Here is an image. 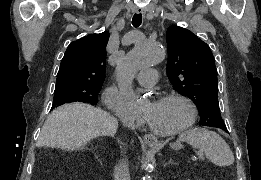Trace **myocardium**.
Segmentation results:
<instances>
[{"mask_svg": "<svg viewBox=\"0 0 261 180\" xmlns=\"http://www.w3.org/2000/svg\"><path fill=\"white\" fill-rule=\"evenodd\" d=\"M161 98H175L183 102L186 107H187V116L186 119L183 123V126L181 129L173 134H168V135H153L148 131V128L146 127L145 123L143 122L144 125V130L146 132V135L149 137H155L158 139H166V140H177L181 138L188 130L189 128L193 125L196 117V106L195 103L192 101L191 98H189L186 94L183 92L177 91V90H170L166 91L161 95Z\"/></svg>", "mask_w": 261, "mask_h": 180, "instance_id": "1", "label": "myocardium"}]
</instances>
